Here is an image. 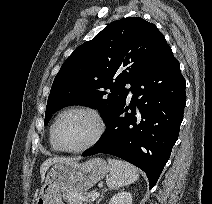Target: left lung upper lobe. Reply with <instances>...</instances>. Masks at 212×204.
<instances>
[{
	"mask_svg": "<svg viewBox=\"0 0 212 204\" xmlns=\"http://www.w3.org/2000/svg\"><path fill=\"white\" fill-rule=\"evenodd\" d=\"M169 48L157 27L140 17L112 22L62 65L51 87L45 125L69 105L96 108L106 119L126 100L125 85L132 88Z\"/></svg>",
	"mask_w": 212,
	"mask_h": 204,
	"instance_id": "1",
	"label": "left lung upper lobe"
}]
</instances>
